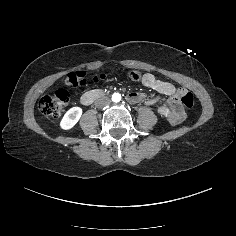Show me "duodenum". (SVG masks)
Masks as SVG:
<instances>
[{"instance_id": "duodenum-1", "label": "duodenum", "mask_w": 236, "mask_h": 236, "mask_svg": "<svg viewBox=\"0 0 236 236\" xmlns=\"http://www.w3.org/2000/svg\"><path fill=\"white\" fill-rule=\"evenodd\" d=\"M104 96V93L100 90H92L84 93L81 97V103L84 105H88L93 101ZM128 100L132 103H138L141 101H145L149 104L157 103V99L148 100L141 94L131 93L128 96ZM158 112L169 119L171 122L177 123L182 121L184 117V111L181 106L179 98L175 95L173 96L167 104H162L158 106Z\"/></svg>"}]
</instances>
